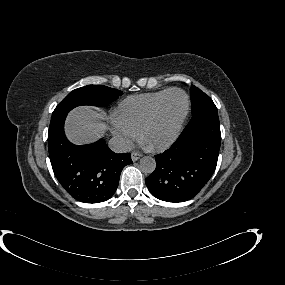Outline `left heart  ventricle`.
Wrapping results in <instances>:
<instances>
[{
  "mask_svg": "<svg viewBox=\"0 0 285 285\" xmlns=\"http://www.w3.org/2000/svg\"><path fill=\"white\" fill-rule=\"evenodd\" d=\"M185 107V96L181 92H172L164 104L159 119L145 133L144 142L148 145H155L171 138Z\"/></svg>",
  "mask_w": 285,
  "mask_h": 285,
  "instance_id": "obj_1",
  "label": "left heart ventricle"
}]
</instances>
